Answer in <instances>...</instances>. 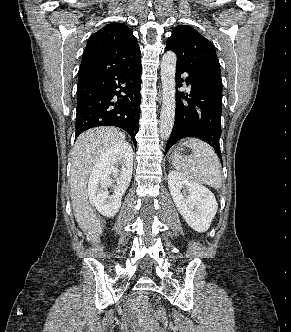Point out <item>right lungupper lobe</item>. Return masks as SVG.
Returning a JSON list of instances; mask_svg holds the SVG:
<instances>
[{"label": "right lung upper lobe", "mask_w": 291, "mask_h": 332, "mask_svg": "<svg viewBox=\"0 0 291 332\" xmlns=\"http://www.w3.org/2000/svg\"><path fill=\"white\" fill-rule=\"evenodd\" d=\"M141 59L137 39L122 23H110L88 39L79 68V77L119 69Z\"/></svg>", "instance_id": "obj_1"}]
</instances>
